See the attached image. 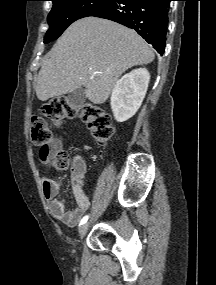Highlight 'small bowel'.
<instances>
[{
  "label": "small bowel",
  "instance_id": "obj_1",
  "mask_svg": "<svg viewBox=\"0 0 216 285\" xmlns=\"http://www.w3.org/2000/svg\"><path fill=\"white\" fill-rule=\"evenodd\" d=\"M62 148L63 144L59 139L52 140L46 149H40L41 161L46 162L50 157L61 152ZM85 173V161L81 157H75L70 170V179L72 193L77 207L72 210L67 209V205L64 200L56 198L60 191L59 183L47 177L43 178V194L49 201L50 213L54 218L61 220L70 227H75L84 212H86L90 207V201L83 190V179Z\"/></svg>",
  "mask_w": 216,
  "mask_h": 285
}]
</instances>
